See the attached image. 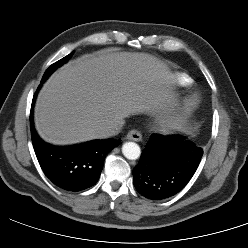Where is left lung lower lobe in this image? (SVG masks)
Segmentation results:
<instances>
[{"mask_svg":"<svg viewBox=\"0 0 248 248\" xmlns=\"http://www.w3.org/2000/svg\"><path fill=\"white\" fill-rule=\"evenodd\" d=\"M202 156L201 146L180 135H153L133 170V184L148 199L170 198L187 185Z\"/></svg>","mask_w":248,"mask_h":248,"instance_id":"1","label":"left lung lower lobe"}]
</instances>
